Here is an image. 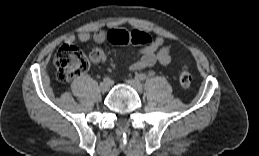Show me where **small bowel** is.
I'll return each mask as SVG.
<instances>
[{
  "label": "small bowel",
  "instance_id": "c3829d8e",
  "mask_svg": "<svg viewBox=\"0 0 259 156\" xmlns=\"http://www.w3.org/2000/svg\"><path fill=\"white\" fill-rule=\"evenodd\" d=\"M109 32L110 31L107 30H98L91 35L90 33L83 31L78 34L77 38L81 42H87L92 39L96 44H102L108 39ZM74 40V36L67 38L68 42H73ZM170 53L171 46L166 44L165 39L163 37H156L149 45L139 50L140 57L131 63L130 69L137 71L152 67L157 63L167 66L171 62ZM106 58V53L99 47L94 48L90 53V60L95 64L104 62Z\"/></svg>",
  "mask_w": 259,
  "mask_h": 156
}]
</instances>
